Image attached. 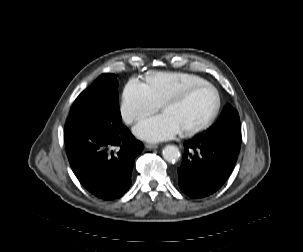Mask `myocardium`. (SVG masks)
<instances>
[{
  "label": "myocardium",
  "mask_w": 303,
  "mask_h": 252,
  "mask_svg": "<svg viewBox=\"0 0 303 252\" xmlns=\"http://www.w3.org/2000/svg\"><path fill=\"white\" fill-rule=\"evenodd\" d=\"M202 88H209L214 93L215 105H214L213 111H212L210 117L202 125L195 127L193 129H189V130H181V134L184 137L194 136V135L208 129L213 124V122L215 121V119L219 113L220 107H221V96H220L218 89L211 83H200V84L194 86L193 88L189 89L188 91H186L184 94H182L178 97L169 99L162 106L163 109H168L169 107H171L173 105L181 104L189 96H191L193 93H195L196 91H198Z\"/></svg>",
  "instance_id": "obj_1"
}]
</instances>
